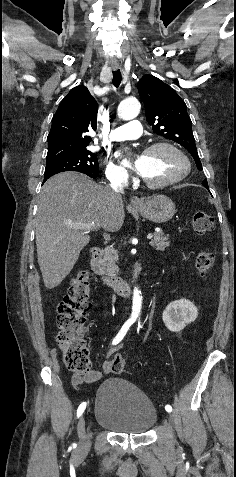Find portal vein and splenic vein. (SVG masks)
<instances>
[{
  "mask_svg": "<svg viewBox=\"0 0 236 477\" xmlns=\"http://www.w3.org/2000/svg\"><path fill=\"white\" fill-rule=\"evenodd\" d=\"M78 226L81 227V228H87V229H96V228H97V225L94 224V223H91V224H78ZM152 237H153V234H151V233H149V234L147 235V239H148V240L152 239Z\"/></svg>",
  "mask_w": 236,
  "mask_h": 477,
  "instance_id": "1",
  "label": "portal vein and splenic vein"
}]
</instances>
